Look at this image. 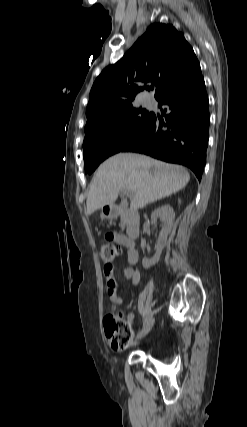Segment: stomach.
<instances>
[{
  "label": "stomach",
  "instance_id": "0dacf381",
  "mask_svg": "<svg viewBox=\"0 0 247 427\" xmlns=\"http://www.w3.org/2000/svg\"><path fill=\"white\" fill-rule=\"evenodd\" d=\"M101 218L104 219V218H107V216L104 213H102Z\"/></svg>",
  "mask_w": 247,
  "mask_h": 427
}]
</instances>
